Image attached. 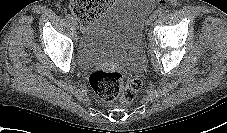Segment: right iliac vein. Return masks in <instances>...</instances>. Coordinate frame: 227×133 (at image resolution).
Here are the masks:
<instances>
[{
    "mask_svg": "<svg viewBox=\"0 0 227 133\" xmlns=\"http://www.w3.org/2000/svg\"><path fill=\"white\" fill-rule=\"evenodd\" d=\"M72 24H73L76 28H78V23H77L76 20H72Z\"/></svg>",
    "mask_w": 227,
    "mask_h": 133,
    "instance_id": "1",
    "label": "right iliac vein"
}]
</instances>
